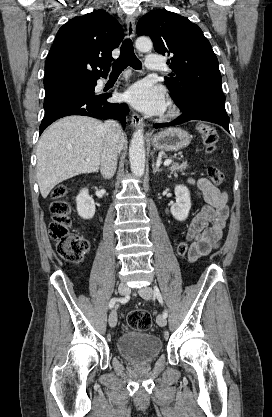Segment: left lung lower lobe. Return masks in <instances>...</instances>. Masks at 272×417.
Masks as SVG:
<instances>
[{
	"instance_id": "obj_1",
	"label": "left lung lower lobe",
	"mask_w": 272,
	"mask_h": 417,
	"mask_svg": "<svg viewBox=\"0 0 272 417\" xmlns=\"http://www.w3.org/2000/svg\"><path fill=\"white\" fill-rule=\"evenodd\" d=\"M176 105L182 110V115L169 123H157L153 125L154 128L174 126L190 120H203L216 123L229 132V117L226 111H221L214 107L198 103L193 99H187L184 103Z\"/></svg>"
}]
</instances>
